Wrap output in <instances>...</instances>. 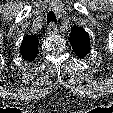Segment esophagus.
<instances>
[{
  "instance_id": "esophagus-1",
  "label": "esophagus",
  "mask_w": 113,
  "mask_h": 113,
  "mask_svg": "<svg viewBox=\"0 0 113 113\" xmlns=\"http://www.w3.org/2000/svg\"><path fill=\"white\" fill-rule=\"evenodd\" d=\"M47 34L51 35V34H55L57 32V27L55 26L54 23H51L46 30Z\"/></svg>"
}]
</instances>
